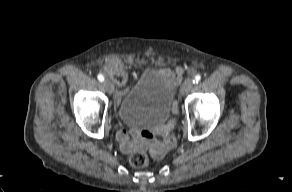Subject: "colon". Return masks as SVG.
<instances>
[{
    "mask_svg": "<svg viewBox=\"0 0 292 192\" xmlns=\"http://www.w3.org/2000/svg\"><path fill=\"white\" fill-rule=\"evenodd\" d=\"M111 77L117 85H124L127 81L126 72L119 66L111 70ZM130 163L135 168H143L148 165L149 158L146 153L136 152L130 157Z\"/></svg>",
    "mask_w": 292,
    "mask_h": 192,
    "instance_id": "colon-1",
    "label": "colon"
}]
</instances>
